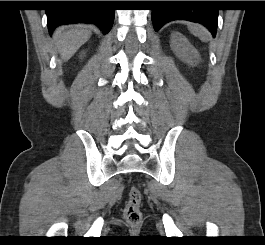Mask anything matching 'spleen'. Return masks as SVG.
<instances>
[{"instance_id": "spleen-1", "label": "spleen", "mask_w": 265, "mask_h": 245, "mask_svg": "<svg viewBox=\"0 0 265 245\" xmlns=\"http://www.w3.org/2000/svg\"><path fill=\"white\" fill-rule=\"evenodd\" d=\"M188 28L191 31V33L193 35L199 37L200 40H202L204 42L209 40V33L207 32V30L204 27L194 25V26H189Z\"/></svg>"}]
</instances>
